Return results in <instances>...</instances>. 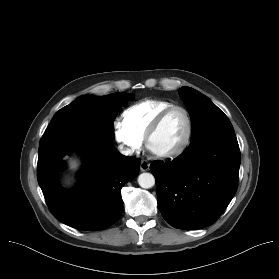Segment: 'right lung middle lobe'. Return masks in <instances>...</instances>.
I'll return each mask as SVG.
<instances>
[{"mask_svg":"<svg viewBox=\"0 0 279 279\" xmlns=\"http://www.w3.org/2000/svg\"><path fill=\"white\" fill-rule=\"evenodd\" d=\"M132 98V94L123 92L99 97L82 96L60 109L45 132L65 126H85L109 140H114L113 123L117 112Z\"/></svg>","mask_w":279,"mask_h":279,"instance_id":"right-lung-middle-lobe-1","label":"right lung middle lobe"}]
</instances>
